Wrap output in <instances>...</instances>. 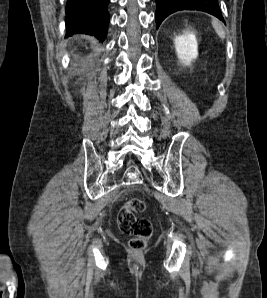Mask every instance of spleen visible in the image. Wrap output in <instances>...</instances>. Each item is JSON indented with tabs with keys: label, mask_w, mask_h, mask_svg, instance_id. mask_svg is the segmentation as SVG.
Wrapping results in <instances>:
<instances>
[{
	"label": "spleen",
	"mask_w": 267,
	"mask_h": 298,
	"mask_svg": "<svg viewBox=\"0 0 267 298\" xmlns=\"http://www.w3.org/2000/svg\"><path fill=\"white\" fill-rule=\"evenodd\" d=\"M212 26H213L215 32L217 33V35L221 39H224L226 37L224 28H223L222 24L218 20H216V19L212 20Z\"/></svg>",
	"instance_id": "1"
}]
</instances>
